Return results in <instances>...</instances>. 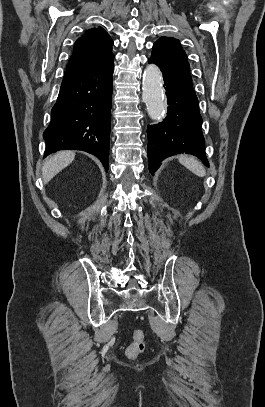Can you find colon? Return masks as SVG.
Instances as JSON below:
<instances>
[{
  "mask_svg": "<svg viewBox=\"0 0 265 407\" xmlns=\"http://www.w3.org/2000/svg\"><path fill=\"white\" fill-rule=\"evenodd\" d=\"M146 349L145 333L141 329H135L132 334V341L126 349V355L135 358L142 354Z\"/></svg>",
  "mask_w": 265,
  "mask_h": 407,
  "instance_id": "obj_1",
  "label": "colon"
}]
</instances>
